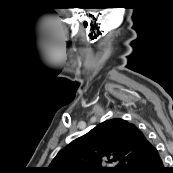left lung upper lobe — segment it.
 Here are the masks:
<instances>
[{"instance_id": "obj_1", "label": "left lung upper lobe", "mask_w": 173, "mask_h": 173, "mask_svg": "<svg viewBox=\"0 0 173 173\" xmlns=\"http://www.w3.org/2000/svg\"><path fill=\"white\" fill-rule=\"evenodd\" d=\"M150 146L134 124L111 119L62 149L49 169L53 173H130ZM106 159L112 167H102Z\"/></svg>"}]
</instances>
